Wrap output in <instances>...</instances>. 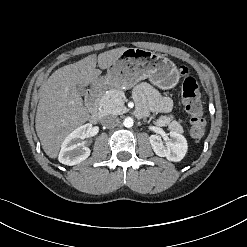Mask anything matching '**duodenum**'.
<instances>
[{"mask_svg":"<svg viewBox=\"0 0 247 247\" xmlns=\"http://www.w3.org/2000/svg\"><path fill=\"white\" fill-rule=\"evenodd\" d=\"M102 94L103 88L98 86L94 87L86 97V104L91 111L90 120L92 122H96L100 118L99 101Z\"/></svg>","mask_w":247,"mask_h":247,"instance_id":"410a0bca","label":"duodenum"}]
</instances>
